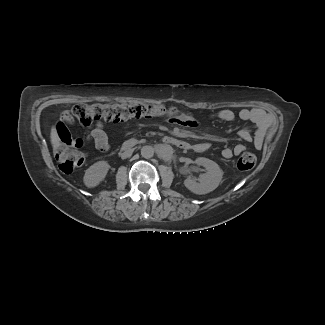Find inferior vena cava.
<instances>
[{"label": "inferior vena cava", "instance_id": "obj_1", "mask_svg": "<svg viewBox=\"0 0 325 325\" xmlns=\"http://www.w3.org/2000/svg\"><path fill=\"white\" fill-rule=\"evenodd\" d=\"M131 155H132V150H128L122 153V158H127L130 157Z\"/></svg>", "mask_w": 325, "mask_h": 325}]
</instances>
